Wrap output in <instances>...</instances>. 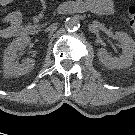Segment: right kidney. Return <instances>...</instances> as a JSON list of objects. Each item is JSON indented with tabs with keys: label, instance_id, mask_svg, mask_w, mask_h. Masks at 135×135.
<instances>
[{
	"label": "right kidney",
	"instance_id": "ca27d5eb",
	"mask_svg": "<svg viewBox=\"0 0 135 135\" xmlns=\"http://www.w3.org/2000/svg\"><path fill=\"white\" fill-rule=\"evenodd\" d=\"M30 38L21 36L13 40L8 47L4 50L3 57V70L5 75L9 77H19L29 73L35 67L34 59H27L22 64L15 62L18 50L22 47L28 46Z\"/></svg>",
	"mask_w": 135,
	"mask_h": 135
}]
</instances>
